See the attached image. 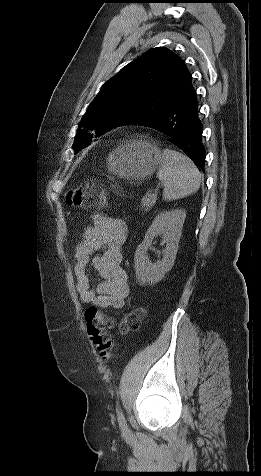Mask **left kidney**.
I'll use <instances>...</instances> for the list:
<instances>
[{
	"label": "left kidney",
	"mask_w": 261,
	"mask_h": 476,
	"mask_svg": "<svg viewBox=\"0 0 261 476\" xmlns=\"http://www.w3.org/2000/svg\"><path fill=\"white\" fill-rule=\"evenodd\" d=\"M185 218L186 212L183 209L164 211L154 218L134 255L136 278L140 285L155 284L161 281L172 268ZM156 236L162 237L166 247L162 251L163 258L152 263L148 258L147 251Z\"/></svg>",
	"instance_id": "5707ae66"
}]
</instances>
